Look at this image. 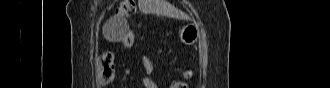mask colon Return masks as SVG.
I'll return each instance as SVG.
<instances>
[{
    "mask_svg": "<svg viewBox=\"0 0 330 88\" xmlns=\"http://www.w3.org/2000/svg\"><path fill=\"white\" fill-rule=\"evenodd\" d=\"M134 11L133 1H122L118 8L119 14L129 16ZM121 44L125 48H131L134 44V35L131 32L126 33L121 38ZM99 80L101 84L111 83L115 79V65L113 57L110 53H103L99 59ZM190 73L183 72L182 79L175 83V88H186V81L189 79Z\"/></svg>",
    "mask_w": 330,
    "mask_h": 88,
    "instance_id": "5ec220e1",
    "label": "colon"
}]
</instances>
